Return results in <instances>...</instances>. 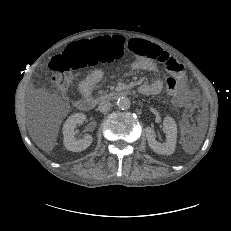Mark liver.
Here are the masks:
<instances>
[{
	"label": "liver",
	"instance_id": "1",
	"mask_svg": "<svg viewBox=\"0 0 231 231\" xmlns=\"http://www.w3.org/2000/svg\"><path fill=\"white\" fill-rule=\"evenodd\" d=\"M37 144L41 149L46 150V151H50L53 148V144L46 145V144L40 143V142H37Z\"/></svg>",
	"mask_w": 231,
	"mask_h": 231
}]
</instances>
